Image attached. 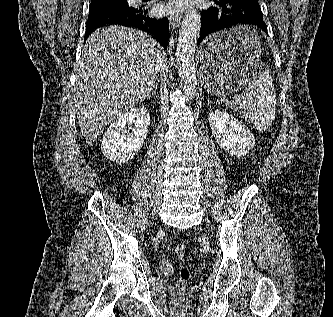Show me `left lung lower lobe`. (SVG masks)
I'll use <instances>...</instances> for the list:
<instances>
[{
	"label": "left lung lower lobe",
	"mask_w": 333,
	"mask_h": 317,
	"mask_svg": "<svg viewBox=\"0 0 333 317\" xmlns=\"http://www.w3.org/2000/svg\"><path fill=\"white\" fill-rule=\"evenodd\" d=\"M256 25L267 33L258 0H214V5L202 11L198 44L209 34L238 25ZM242 42V41H241ZM231 49L222 46L211 50L213 57L225 56Z\"/></svg>",
	"instance_id": "obj_1"
}]
</instances>
